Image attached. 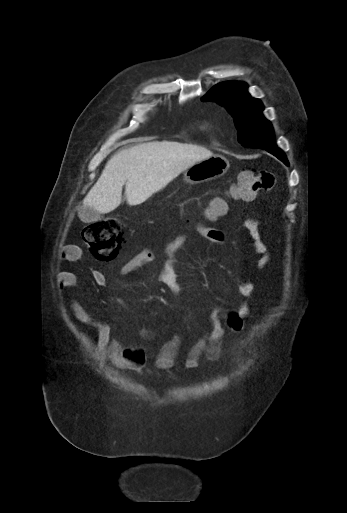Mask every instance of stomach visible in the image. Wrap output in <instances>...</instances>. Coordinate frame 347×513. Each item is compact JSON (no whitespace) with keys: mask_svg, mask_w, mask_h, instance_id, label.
<instances>
[{"mask_svg":"<svg viewBox=\"0 0 347 513\" xmlns=\"http://www.w3.org/2000/svg\"><path fill=\"white\" fill-rule=\"evenodd\" d=\"M229 161L221 155H212L196 162L184 171V179L190 184H200L224 175L229 169Z\"/></svg>","mask_w":347,"mask_h":513,"instance_id":"0dacf381","label":"stomach"}]
</instances>
